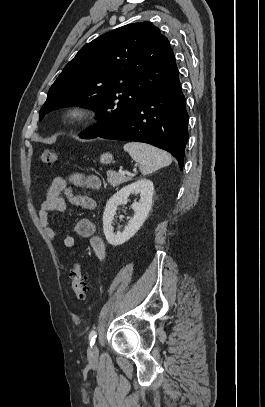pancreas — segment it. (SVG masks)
Masks as SVG:
<instances>
[{
	"instance_id": "1",
	"label": "pancreas",
	"mask_w": 265,
	"mask_h": 407,
	"mask_svg": "<svg viewBox=\"0 0 265 407\" xmlns=\"http://www.w3.org/2000/svg\"><path fill=\"white\" fill-rule=\"evenodd\" d=\"M130 180L131 177L121 175L113 170L107 172V181L113 187H117L120 184L128 182Z\"/></svg>"
}]
</instances>
